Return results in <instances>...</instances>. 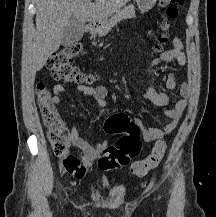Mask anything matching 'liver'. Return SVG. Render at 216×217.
Wrapping results in <instances>:
<instances>
[{
	"mask_svg": "<svg viewBox=\"0 0 216 217\" xmlns=\"http://www.w3.org/2000/svg\"><path fill=\"white\" fill-rule=\"evenodd\" d=\"M130 0H36L34 69L39 71L59 49L70 16L81 23L101 22L118 12Z\"/></svg>",
	"mask_w": 216,
	"mask_h": 217,
	"instance_id": "1",
	"label": "liver"
}]
</instances>
